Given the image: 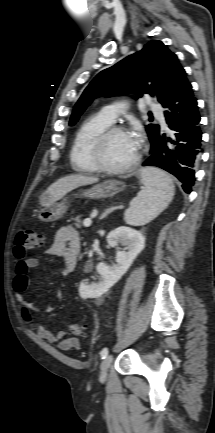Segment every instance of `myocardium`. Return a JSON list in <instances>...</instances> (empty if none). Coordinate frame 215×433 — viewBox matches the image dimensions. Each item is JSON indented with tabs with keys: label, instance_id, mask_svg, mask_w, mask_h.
Returning a JSON list of instances; mask_svg holds the SVG:
<instances>
[{
	"label": "myocardium",
	"instance_id": "myocardium-1",
	"mask_svg": "<svg viewBox=\"0 0 215 433\" xmlns=\"http://www.w3.org/2000/svg\"><path fill=\"white\" fill-rule=\"evenodd\" d=\"M115 133H128V131L124 127L118 125H110L103 130L93 141L91 147V159L98 171L118 175L133 170L139 164L141 159L142 144H139L137 153L130 163L122 167H110L104 161L103 152L106 142Z\"/></svg>",
	"mask_w": 215,
	"mask_h": 433
}]
</instances>
